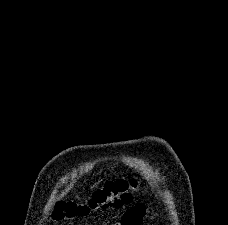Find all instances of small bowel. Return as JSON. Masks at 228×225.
Masks as SVG:
<instances>
[{
	"label": "small bowel",
	"mask_w": 228,
	"mask_h": 225,
	"mask_svg": "<svg viewBox=\"0 0 228 225\" xmlns=\"http://www.w3.org/2000/svg\"><path fill=\"white\" fill-rule=\"evenodd\" d=\"M146 204H137V207L130 208L123 216L121 223L117 225H141L139 218H144Z\"/></svg>",
	"instance_id": "c3829d8e"
}]
</instances>
